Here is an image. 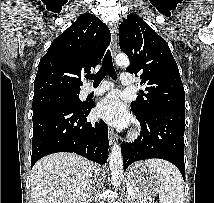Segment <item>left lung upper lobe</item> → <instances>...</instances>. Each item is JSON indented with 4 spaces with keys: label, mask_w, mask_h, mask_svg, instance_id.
I'll list each match as a JSON object with an SVG mask.
<instances>
[{
    "label": "left lung upper lobe",
    "mask_w": 214,
    "mask_h": 203,
    "mask_svg": "<svg viewBox=\"0 0 214 203\" xmlns=\"http://www.w3.org/2000/svg\"><path fill=\"white\" fill-rule=\"evenodd\" d=\"M119 36L120 49L131 59L126 71L140 75L146 91L131 103L133 112L146 116L163 108L185 110L184 87L167 42L136 14L124 19Z\"/></svg>",
    "instance_id": "5c2ea615"
}]
</instances>
